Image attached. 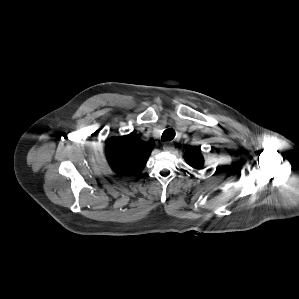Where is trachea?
Returning a JSON list of instances; mask_svg holds the SVG:
<instances>
[{"mask_svg":"<svg viewBox=\"0 0 299 299\" xmlns=\"http://www.w3.org/2000/svg\"><path fill=\"white\" fill-rule=\"evenodd\" d=\"M175 137V131L173 129H166L162 134V141H170Z\"/></svg>","mask_w":299,"mask_h":299,"instance_id":"1","label":"trachea"}]
</instances>
